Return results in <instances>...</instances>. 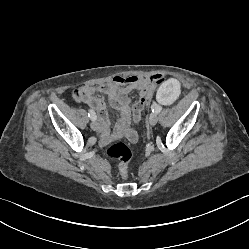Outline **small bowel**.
<instances>
[{
	"mask_svg": "<svg viewBox=\"0 0 249 249\" xmlns=\"http://www.w3.org/2000/svg\"><path fill=\"white\" fill-rule=\"evenodd\" d=\"M164 79L166 78L159 74L149 77L136 75L116 76L110 82L99 86H83L78 92L80 100L89 105L98 114L99 129L104 141L126 135L131 142H135L136 135L130 127L131 111L129 105L131 99L129 93L132 89H137L141 97L151 101L155 92V84H160ZM97 93L106 95L110 106L118 113V122L112 133L109 132V120L104 97L96 95Z\"/></svg>",
	"mask_w": 249,
	"mask_h": 249,
	"instance_id": "obj_1",
	"label": "small bowel"
}]
</instances>
